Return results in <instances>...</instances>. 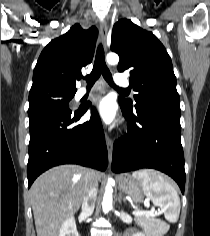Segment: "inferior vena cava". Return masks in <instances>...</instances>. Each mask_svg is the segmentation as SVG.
Returning a JSON list of instances; mask_svg holds the SVG:
<instances>
[{"instance_id": "obj_1", "label": "inferior vena cava", "mask_w": 210, "mask_h": 236, "mask_svg": "<svg viewBox=\"0 0 210 236\" xmlns=\"http://www.w3.org/2000/svg\"><path fill=\"white\" fill-rule=\"evenodd\" d=\"M98 192V182L94 180L93 173L89 174V185L82 202V213L91 215L95 208V202Z\"/></svg>"}]
</instances>
